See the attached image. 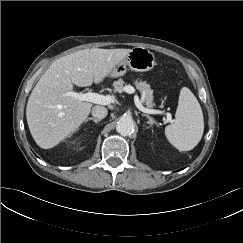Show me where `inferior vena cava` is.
<instances>
[{
	"label": "inferior vena cava",
	"instance_id": "inferior-vena-cava-1",
	"mask_svg": "<svg viewBox=\"0 0 243 243\" xmlns=\"http://www.w3.org/2000/svg\"><path fill=\"white\" fill-rule=\"evenodd\" d=\"M107 113H108V110L104 106L96 105L92 108V115L95 118H98L100 120L105 118L107 116Z\"/></svg>",
	"mask_w": 243,
	"mask_h": 243
}]
</instances>
